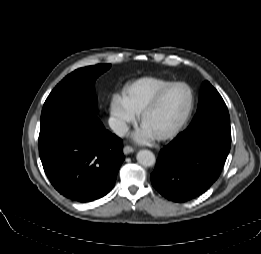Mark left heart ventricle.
I'll list each match as a JSON object with an SVG mask.
<instances>
[{"label": "left heart ventricle", "instance_id": "left-heart-ventricle-1", "mask_svg": "<svg viewBox=\"0 0 261 254\" xmlns=\"http://www.w3.org/2000/svg\"><path fill=\"white\" fill-rule=\"evenodd\" d=\"M189 100V91L186 87L171 88L158 106L146 116L142 128L151 136L173 129L186 113Z\"/></svg>", "mask_w": 261, "mask_h": 254}]
</instances>
